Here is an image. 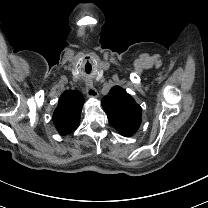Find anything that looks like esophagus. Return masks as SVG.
<instances>
[{
    "instance_id": "obj_1",
    "label": "esophagus",
    "mask_w": 208,
    "mask_h": 208,
    "mask_svg": "<svg viewBox=\"0 0 208 208\" xmlns=\"http://www.w3.org/2000/svg\"><path fill=\"white\" fill-rule=\"evenodd\" d=\"M86 93L88 97H92V98L98 97V92L95 89L92 81L86 82Z\"/></svg>"
}]
</instances>
